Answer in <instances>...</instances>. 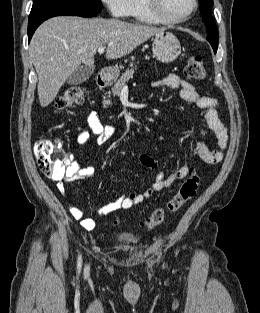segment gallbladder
<instances>
[{"mask_svg":"<svg viewBox=\"0 0 260 313\" xmlns=\"http://www.w3.org/2000/svg\"><path fill=\"white\" fill-rule=\"evenodd\" d=\"M94 72V67L82 66L78 67L67 78L69 85H79L87 81Z\"/></svg>","mask_w":260,"mask_h":313,"instance_id":"1","label":"gallbladder"}]
</instances>
